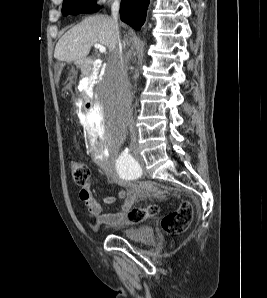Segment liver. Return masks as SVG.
<instances>
[{
  "mask_svg": "<svg viewBox=\"0 0 267 298\" xmlns=\"http://www.w3.org/2000/svg\"><path fill=\"white\" fill-rule=\"evenodd\" d=\"M118 40L119 37L111 17L90 16L72 27L59 39L54 57L60 62H77L87 57L94 44L104 45L112 52Z\"/></svg>",
  "mask_w": 267,
  "mask_h": 298,
  "instance_id": "liver-1",
  "label": "liver"
}]
</instances>
